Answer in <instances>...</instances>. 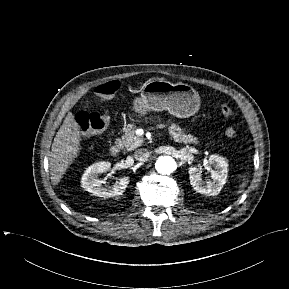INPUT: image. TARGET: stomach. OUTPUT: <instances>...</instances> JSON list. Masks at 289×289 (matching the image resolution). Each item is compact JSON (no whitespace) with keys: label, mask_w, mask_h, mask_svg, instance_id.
<instances>
[{"label":"stomach","mask_w":289,"mask_h":289,"mask_svg":"<svg viewBox=\"0 0 289 289\" xmlns=\"http://www.w3.org/2000/svg\"><path fill=\"white\" fill-rule=\"evenodd\" d=\"M199 107L200 97L193 87L162 79L147 81L142 87L141 96L134 100V110L140 115L167 110L176 117L186 118L194 115Z\"/></svg>","instance_id":"obj_1"}]
</instances>
